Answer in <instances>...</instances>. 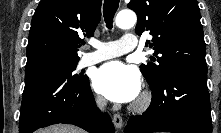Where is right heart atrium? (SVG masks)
Segmentation results:
<instances>
[{
  "mask_svg": "<svg viewBox=\"0 0 221 133\" xmlns=\"http://www.w3.org/2000/svg\"><path fill=\"white\" fill-rule=\"evenodd\" d=\"M95 101H96V104H97L98 106H100V107L104 105V100H103V98L100 97V96H96Z\"/></svg>",
  "mask_w": 221,
  "mask_h": 133,
  "instance_id": "d8ad5b80",
  "label": "right heart atrium"
}]
</instances>
